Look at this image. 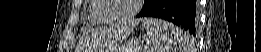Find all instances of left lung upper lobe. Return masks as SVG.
Returning a JSON list of instances; mask_svg holds the SVG:
<instances>
[{"instance_id":"left-lung-upper-lobe-1","label":"left lung upper lobe","mask_w":261,"mask_h":52,"mask_svg":"<svg viewBox=\"0 0 261 52\" xmlns=\"http://www.w3.org/2000/svg\"><path fill=\"white\" fill-rule=\"evenodd\" d=\"M153 0H145L144 8L149 6L152 3Z\"/></svg>"}]
</instances>
